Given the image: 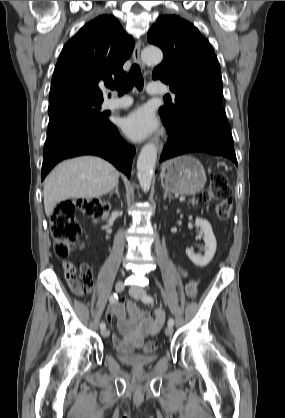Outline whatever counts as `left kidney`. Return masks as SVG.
Wrapping results in <instances>:
<instances>
[{
	"instance_id": "left-kidney-1",
	"label": "left kidney",
	"mask_w": 285,
	"mask_h": 418,
	"mask_svg": "<svg viewBox=\"0 0 285 418\" xmlns=\"http://www.w3.org/2000/svg\"><path fill=\"white\" fill-rule=\"evenodd\" d=\"M196 227L200 228V232L203 234V240L205 242L204 246V255L196 254L193 249L187 248L186 254L189 259L197 266L204 267L209 264V262L214 257L216 252L217 242L215 235L212 230V226L206 219L196 218L195 220Z\"/></svg>"
}]
</instances>
